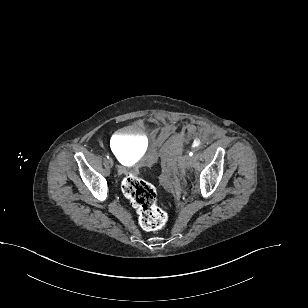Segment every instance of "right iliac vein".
Segmentation results:
<instances>
[{"label": "right iliac vein", "instance_id": "63e3f726", "mask_svg": "<svg viewBox=\"0 0 308 308\" xmlns=\"http://www.w3.org/2000/svg\"><path fill=\"white\" fill-rule=\"evenodd\" d=\"M108 162H109V164H110L111 166L114 165V162H113V160H112L111 158L108 160Z\"/></svg>", "mask_w": 308, "mask_h": 308}]
</instances>
